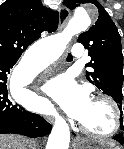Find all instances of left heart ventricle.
I'll use <instances>...</instances> for the list:
<instances>
[{
    "mask_svg": "<svg viewBox=\"0 0 124 149\" xmlns=\"http://www.w3.org/2000/svg\"><path fill=\"white\" fill-rule=\"evenodd\" d=\"M79 121L96 133H106L112 129L114 124L110 106L105 102L94 100L84 117Z\"/></svg>",
    "mask_w": 124,
    "mask_h": 149,
    "instance_id": "1",
    "label": "left heart ventricle"
}]
</instances>
